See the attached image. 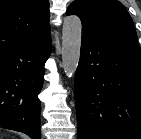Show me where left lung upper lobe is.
I'll list each match as a JSON object with an SVG mask.
<instances>
[{"label": "left lung upper lobe", "mask_w": 141, "mask_h": 139, "mask_svg": "<svg viewBox=\"0 0 141 139\" xmlns=\"http://www.w3.org/2000/svg\"><path fill=\"white\" fill-rule=\"evenodd\" d=\"M77 15L82 22V35L140 50L133 21L117 0H75L67 15Z\"/></svg>", "instance_id": "5c2ea615"}]
</instances>
